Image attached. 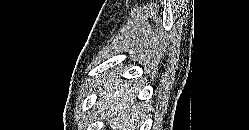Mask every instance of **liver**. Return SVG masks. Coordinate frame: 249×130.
I'll return each mask as SVG.
<instances>
[{"instance_id":"1","label":"liver","mask_w":249,"mask_h":130,"mask_svg":"<svg viewBox=\"0 0 249 130\" xmlns=\"http://www.w3.org/2000/svg\"><path fill=\"white\" fill-rule=\"evenodd\" d=\"M115 79V80H114ZM99 97L95 105L103 118L115 130H136L140 126L139 115L144 111L145 104L135 102L139 88L132 85L131 80H119L112 77L102 81Z\"/></svg>"}]
</instances>
